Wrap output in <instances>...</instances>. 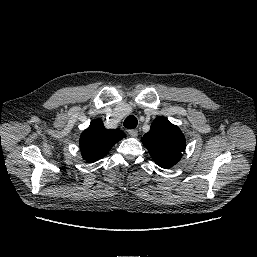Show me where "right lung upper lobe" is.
<instances>
[{"label":"right lung upper lobe","mask_w":257,"mask_h":257,"mask_svg":"<svg viewBox=\"0 0 257 257\" xmlns=\"http://www.w3.org/2000/svg\"><path fill=\"white\" fill-rule=\"evenodd\" d=\"M125 138L119 129H106L102 120H95L83 131L80 137V149L83 159L93 163L108 154L112 146Z\"/></svg>","instance_id":"cb5924a9"}]
</instances>
